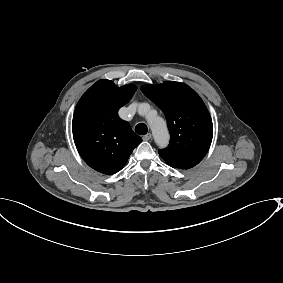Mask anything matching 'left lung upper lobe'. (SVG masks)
<instances>
[{"mask_svg":"<svg viewBox=\"0 0 283 283\" xmlns=\"http://www.w3.org/2000/svg\"><path fill=\"white\" fill-rule=\"evenodd\" d=\"M142 92L165 114L170 144L159 155L172 167L189 169L206 155L213 137L210 114L199 95L188 85L166 81L146 84Z\"/></svg>","mask_w":283,"mask_h":283,"instance_id":"1","label":"left lung upper lobe"}]
</instances>
